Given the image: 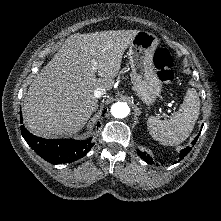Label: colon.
<instances>
[{"mask_svg":"<svg viewBox=\"0 0 221 221\" xmlns=\"http://www.w3.org/2000/svg\"><path fill=\"white\" fill-rule=\"evenodd\" d=\"M153 62L160 81L166 84L172 82L174 79L173 59L165 45L158 46L154 53Z\"/></svg>","mask_w":221,"mask_h":221,"instance_id":"5ec220e1","label":"colon"}]
</instances>
